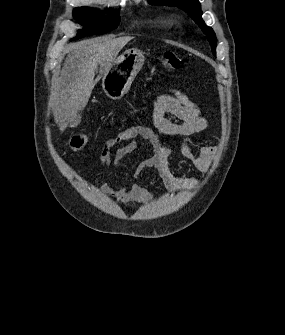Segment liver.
Here are the masks:
<instances>
[{
	"label": "liver",
	"mask_w": 285,
	"mask_h": 335,
	"mask_svg": "<svg viewBox=\"0 0 285 335\" xmlns=\"http://www.w3.org/2000/svg\"><path fill=\"white\" fill-rule=\"evenodd\" d=\"M130 40H133L131 36L114 40L94 38L64 48L68 56L52 94V112L60 132H64L78 112H82L87 106L92 90L98 82V78L94 80V76L99 64L101 72L105 74Z\"/></svg>",
	"instance_id": "liver-1"
}]
</instances>
